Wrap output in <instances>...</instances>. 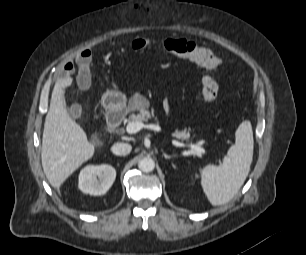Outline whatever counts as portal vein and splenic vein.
Returning <instances> with one entry per match:
<instances>
[{"label": "portal vein and splenic vein", "mask_w": 306, "mask_h": 255, "mask_svg": "<svg viewBox=\"0 0 306 255\" xmlns=\"http://www.w3.org/2000/svg\"><path fill=\"white\" fill-rule=\"evenodd\" d=\"M142 128H147V129H151L153 131L156 132H160L161 131V127L159 125L156 124H148V125H144L142 122H129L126 126V132L129 134H134L139 132ZM172 144L176 147H184L186 146V144L178 142L174 139H172ZM194 152L198 153V154H205L206 151L205 149H203L201 146H199L198 144H190L188 145Z\"/></svg>", "instance_id": "obj_1"}]
</instances>
